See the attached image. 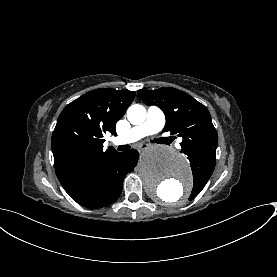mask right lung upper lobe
Instances as JSON below:
<instances>
[{"instance_id": "1", "label": "right lung upper lobe", "mask_w": 277, "mask_h": 277, "mask_svg": "<svg viewBox=\"0 0 277 277\" xmlns=\"http://www.w3.org/2000/svg\"><path fill=\"white\" fill-rule=\"evenodd\" d=\"M135 94V91L100 88L87 92L63 109L52 134L54 166L61 183L115 152L103 151V136L116 135V122L123 117Z\"/></svg>"}]
</instances>
